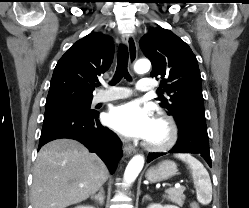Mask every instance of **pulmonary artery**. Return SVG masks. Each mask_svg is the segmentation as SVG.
<instances>
[{
  "label": "pulmonary artery",
  "instance_id": "1",
  "mask_svg": "<svg viewBox=\"0 0 249 208\" xmlns=\"http://www.w3.org/2000/svg\"><path fill=\"white\" fill-rule=\"evenodd\" d=\"M136 89L140 92L148 93L155 89V84L151 79L142 78L138 81ZM133 95L132 89L128 87H117L106 93H98L94 97V103L108 102L118 99H125Z\"/></svg>",
  "mask_w": 249,
  "mask_h": 208
}]
</instances>
